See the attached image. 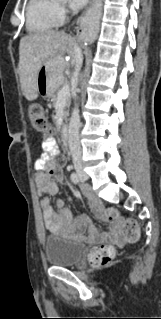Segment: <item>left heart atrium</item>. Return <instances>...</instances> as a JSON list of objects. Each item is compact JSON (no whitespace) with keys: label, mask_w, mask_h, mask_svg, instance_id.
Returning <instances> with one entry per match:
<instances>
[{"label":"left heart atrium","mask_w":161,"mask_h":319,"mask_svg":"<svg viewBox=\"0 0 161 319\" xmlns=\"http://www.w3.org/2000/svg\"><path fill=\"white\" fill-rule=\"evenodd\" d=\"M88 0H68L69 6L73 9H79L86 5Z\"/></svg>","instance_id":"obj_1"}]
</instances>
